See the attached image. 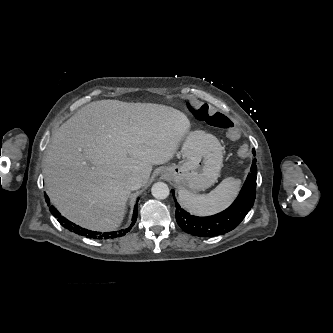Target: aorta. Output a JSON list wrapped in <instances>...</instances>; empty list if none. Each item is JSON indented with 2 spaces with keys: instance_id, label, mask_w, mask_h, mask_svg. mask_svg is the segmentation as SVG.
Masks as SVG:
<instances>
[{
  "instance_id": "aorta-1",
  "label": "aorta",
  "mask_w": 333,
  "mask_h": 333,
  "mask_svg": "<svg viewBox=\"0 0 333 333\" xmlns=\"http://www.w3.org/2000/svg\"><path fill=\"white\" fill-rule=\"evenodd\" d=\"M152 195L157 199H165L169 196V188L163 182H157L152 186Z\"/></svg>"
}]
</instances>
